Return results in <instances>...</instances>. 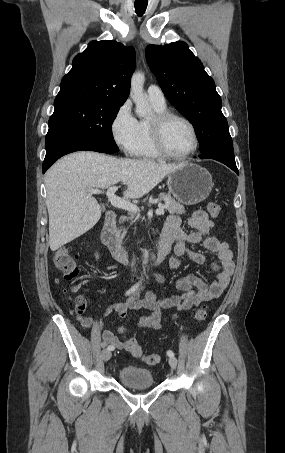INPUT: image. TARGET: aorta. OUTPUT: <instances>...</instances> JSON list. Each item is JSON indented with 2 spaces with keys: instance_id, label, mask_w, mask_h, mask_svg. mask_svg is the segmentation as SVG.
<instances>
[{
  "instance_id": "762f6f07",
  "label": "aorta",
  "mask_w": 285,
  "mask_h": 453,
  "mask_svg": "<svg viewBox=\"0 0 285 453\" xmlns=\"http://www.w3.org/2000/svg\"><path fill=\"white\" fill-rule=\"evenodd\" d=\"M144 81L145 76L142 72H135L131 78V89L130 96L135 103L136 113L138 116H146L150 112V105L147 101V97L144 94ZM144 263L148 260V251L145 250L143 253Z\"/></svg>"
}]
</instances>
